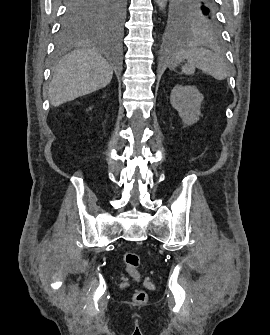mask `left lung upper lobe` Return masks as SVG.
Segmentation results:
<instances>
[{"label": "left lung upper lobe", "mask_w": 270, "mask_h": 335, "mask_svg": "<svg viewBox=\"0 0 270 335\" xmlns=\"http://www.w3.org/2000/svg\"><path fill=\"white\" fill-rule=\"evenodd\" d=\"M165 20L171 28L215 35L220 31L214 0H166Z\"/></svg>", "instance_id": "obj_1"}]
</instances>
